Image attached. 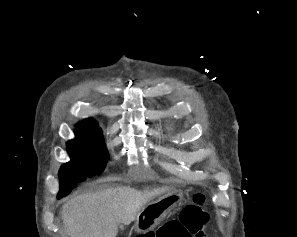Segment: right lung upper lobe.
Returning <instances> with one entry per match:
<instances>
[{
  "mask_svg": "<svg viewBox=\"0 0 297 237\" xmlns=\"http://www.w3.org/2000/svg\"><path fill=\"white\" fill-rule=\"evenodd\" d=\"M75 127V132L83 134H96L101 131L97 123L92 119H86L79 122Z\"/></svg>",
  "mask_w": 297,
  "mask_h": 237,
  "instance_id": "1",
  "label": "right lung upper lobe"
}]
</instances>
